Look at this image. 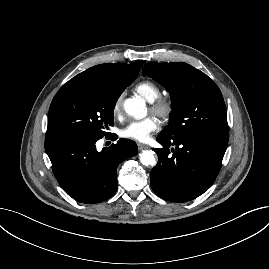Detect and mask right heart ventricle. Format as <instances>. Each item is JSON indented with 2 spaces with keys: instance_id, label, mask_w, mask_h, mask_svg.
I'll list each match as a JSON object with an SVG mask.
<instances>
[{
  "instance_id": "e07e8e85",
  "label": "right heart ventricle",
  "mask_w": 269,
  "mask_h": 269,
  "mask_svg": "<svg viewBox=\"0 0 269 269\" xmlns=\"http://www.w3.org/2000/svg\"><path fill=\"white\" fill-rule=\"evenodd\" d=\"M134 91L149 102H153L160 95L159 87L150 80H142L134 86Z\"/></svg>"
}]
</instances>
